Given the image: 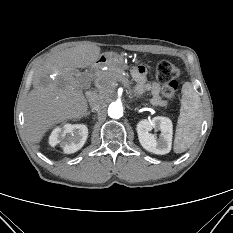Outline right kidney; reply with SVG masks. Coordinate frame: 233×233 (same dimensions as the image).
I'll return each instance as SVG.
<instances>
[{"label": "right kidney", "instance_id": "right-kidney-1", "mask_svg": "<svg viewBox=\"0 0 233 233\" xmlns=\"http://www.w3.org/2000/svg\"><path fill=\"white\" fill-rule=\"evenodd\" d=\"M88 137V128L83 124H65L55 128L50 137L49 145L55 147L57 144L64 153H75L83 147Z\"/></svg>", "mask_w": 233, "mask_h": 233}]
</instances>
